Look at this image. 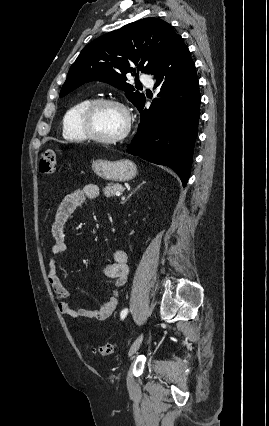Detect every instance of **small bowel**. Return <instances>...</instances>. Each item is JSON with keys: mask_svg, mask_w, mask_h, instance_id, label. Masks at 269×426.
Listing matches in <instances>:
<instances>
[{"mask_svg": "<svg viewBox=\"0 0 269 426\" xmlns=\"http://www.w3.org/2000/svg\"><path fill=\"white\" fill-rule=\"evenodd\" d=\"M100 195V188L95 184H87L66 196L58 205L54 221L51 226L53 244L48 257V280L52 287L55 299L58 301L59 312L70 318H86L103 321L107 319L118 306V295L115 293L95 309L74 306L67 301L69 291L57 274V256L67 250L65 226L75 212L87 199H95ZM128 256L126 251L118 249L113 251L111 260L103 267L104 276L112 280L115 286L125 284L128 276Z\"/></svg>", "mask_w": 269, "mask_h": 426, "instance_id": "c3829d8e", "label": "small bowel"}]
</instances>
